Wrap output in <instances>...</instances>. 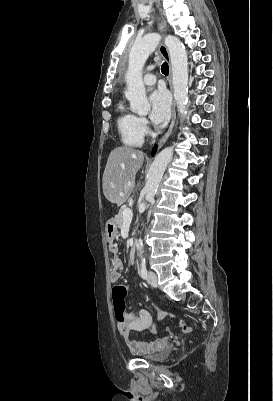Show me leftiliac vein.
I'll list each match as a JSON object with an SVG mask.
<instances>
[{"label": "left iliac vein", "instance_id": "left-iliac-vein-1", "mask_svg": "<svg viewBox=\"0 0 273 401\" xmlns=\"http://www.w3.org/2000/svg\"><path fill=\"white\" fill-rule=\"evenodd\" d=\"M147 282L154 288H157V276L153 271L148 272Z\"/></svg>", "mask_w": 273, "mask_h": 401}]
</instances>
